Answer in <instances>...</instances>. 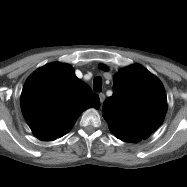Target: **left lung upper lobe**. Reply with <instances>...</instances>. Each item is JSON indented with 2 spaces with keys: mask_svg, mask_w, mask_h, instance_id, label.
Listing matches in <instances>:
<instances>
[{
  "mask_svg": "<svg viewBox=\"0 0 187 187\" xmlns=\"http://www.w3.org/2000/svg\"><path fill=\"white\" fill-rule=\"evenodd\" d=\"M101 68L106 69L104 65ZM166 110V92L160 80L134 64L114 77L113 95L104 102L102 113L118 139L137 143L163 123Z\"/></svg>",
  "mask_w": 187,
  "mask_h": 187,
  "instance_id": "obj_1",
  "label": "left lung upper lobe"
}]
</instances>
